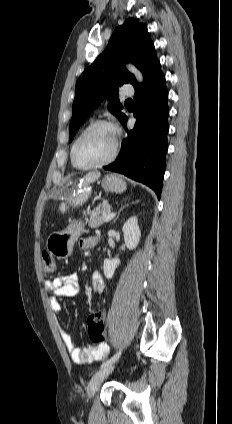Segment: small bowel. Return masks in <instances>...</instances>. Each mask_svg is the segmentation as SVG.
I'll return each mask as SVG.
<instances>
[{
  "mask_svg": "<svg viewBox=\"0 0 232 424\" xmlns=\"http://www.w3.org/2000/svg\"><path fill=\"white\" fill-rule=\"evenodd\" d=\"M98 244V237L89 236L83 238L80 242L81 248L92 249ZM91 288L94 293L103 291L104 282L101 275L95 272L91 276ZM79 277L76 273H70L58 276L53 280L45 282V290L49 293L48 303L52 313L57 316L62 312L61 303L58 297H75L79 292ZM62 340L69 352L72 360L78 364H90L95 361L102 360L108 354L107 344H99L97 346H88L80 349L75 345V342L68 331L60 328Z\"/></svg>",
  "mask_w": 232,
  "mask_h": 424,
  "instance_id": "obj_1",
  "label": "small bowel"
}]
</instances>
